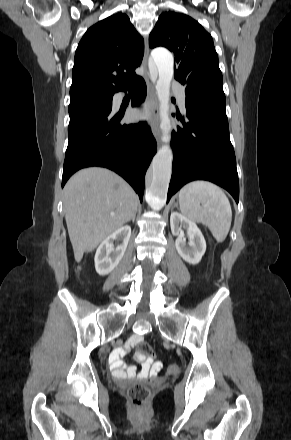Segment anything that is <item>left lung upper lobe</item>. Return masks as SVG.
<instances>
[{"label":"left lung upper lobe","instance_id":"left-lung-upper-lobe-1","mask_svg":"<svg viewBox=\"0 0 291 440\" xmlns=\"http://www.w3.org/2000/svg\"><path fill=\"white\" fill-rule=\"evenodd\" d=\"M149 45L174 53V76L186 85V93L225 102L212 37L197 21L181 13H162L149 36Z\"/></svg>","mask_w":291,"mask_h":440}]
</instances>
